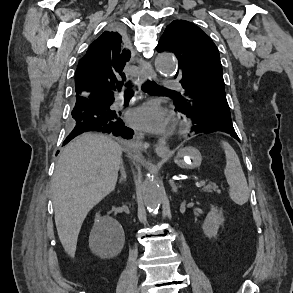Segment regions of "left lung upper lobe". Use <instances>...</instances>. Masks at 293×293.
I'll return each mask as SVG.
<instances>
[{
  "label": "left lung upper lobe",
  "mask_w": 293,
  "mask_h": 293,
  "mask_svg": "<svg viewBox=\"0 0 293 293\" xmlns=\"http://www.w3.org/2000/svg\"><path fill=\"white\" fill-rule=\"evenodd\" d=\"M157 50L174 53L179 62L178 78L186 98L174 104L203 123H232L226 100L222 65L216 45L195 24L174 20L160 38Z\"/></svg>",
  "instance_id": "1"
}]
</instances>
